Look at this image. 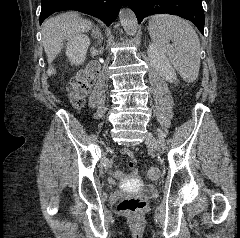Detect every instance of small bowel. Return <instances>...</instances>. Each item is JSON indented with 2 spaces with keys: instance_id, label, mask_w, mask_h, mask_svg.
<instances>
[{
  "instance_id": "c3829d8e",
  "label": "small bowel",
  "mask_w": 240,
  "mask_h": 238,
  "mask_svg": "<svg viewBox=\"0 0 240 238\" xmlns=\"http://www.w3.org/2000/svg\"><path fill=\"white\" fill-rule=\"evenodd\" d=\"M124 146V145H123ZM121 155L130 156V159H127V167L128 171H130L131 174H138L139 170L138 167V156H135V151H129L128 149L124 148L120 151ZM108 169L112 168L111 162L107 165ZM111 175L109 176V184H118V179H114L113 175H124V170H111L109 172Z\"/></svg>"
}]
</instances>
